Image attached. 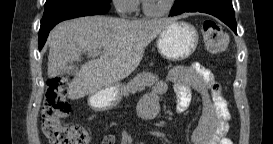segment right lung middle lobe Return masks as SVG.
I'll list each match as a JSON object with an SVG mask.
<instances>
[{"label":"right lung middle lobe","instance_id":"dd1d6c3e","mask_svg":"<svg viewBox=\"0 0 273 144\" xmlns=\"http://www.w3.org/2000/svg\"><path fill=\"white\" fill-rule=\"evenodd\" d=\"M62 1H69V0H46V3L44 5V9H47L51 5H53V4L57 3V2H62ZM98 1H103V2H108V3L111 2V0H98Z\"/></svg>","mask_w":273,"mask_h":144}]
</instances>
